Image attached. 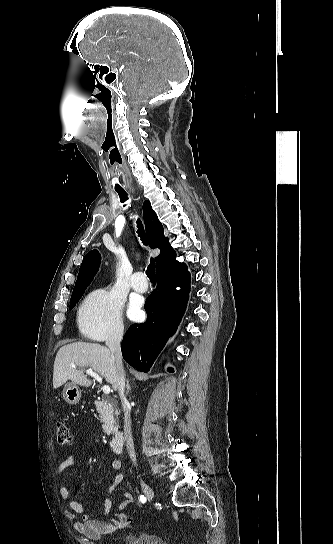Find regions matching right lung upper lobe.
I'll list each match as a JSON object with an SVG mask.
<instances>
[{
	"instance_id": "cb5924a9",
	"label": "right lung upper lobe",
	"mask_w": 333,
	"mask_h": 544,
	"mask_svg": "<svg viewBox=\"0 0 333 544\" xmlns=\"http://www.w3.org/2000/svg\"><path fill=\"white\" fill-rule=\"evenodd\" d=\"M143 216L150 247L161 250V253L156 257V274L180 264L176 260V253L170 246L168 238L164 236L163 226L151 208L149 201H145L143 204ZM99 265L100 255L98 251H90L82 261L72 294L85 291L92 282Z\"/></svg>"
}]
</instances>
